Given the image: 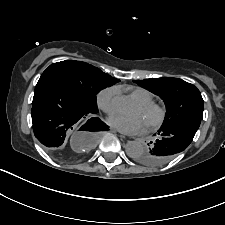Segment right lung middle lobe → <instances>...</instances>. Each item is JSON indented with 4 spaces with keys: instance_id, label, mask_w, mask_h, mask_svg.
Here are the masks:
<instances>
[{
    "instance_id": "1",
    "label": "right lung middle lobe",
    "mask_w": 225,
    "mask_h": 225,
    "mask_svg": "<svg viewBox=\"0 0 225 225\" xmlns=\"http://www.w3.org/2000/svg\"><path fill=\"white\" fill-rule=\"evenodd\" d=\"M39 80H51L58 83L94 112H98L96 95L116 83L111 76L100 69L74 60L50 65Z\"/></svg>"
}]
</instances>
